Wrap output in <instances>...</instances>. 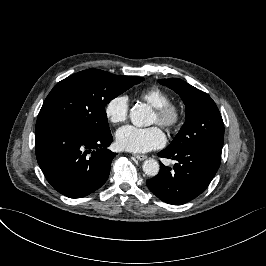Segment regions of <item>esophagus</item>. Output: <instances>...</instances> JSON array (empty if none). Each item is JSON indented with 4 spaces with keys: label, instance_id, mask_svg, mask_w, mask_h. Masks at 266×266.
<instances>
[{
    "label": "esophagus",
    "instance_id": "esophagus-1",
    "mask_svg": "<svg viewBox=\"0 0 266 266\" xmlns=\"http://www.w3.org/2000/svg\"><path fill=\"white\" fill-rule=\"evenodd\" d=\"M134 157L137 159V160H139V161H143V160H145L146 158H147V156L146 155H134Z\"/></svg>",
    "mask_w": 266,
    "mask_h": 266
}]
</instances>
